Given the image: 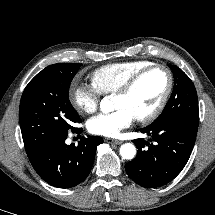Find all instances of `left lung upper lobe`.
Returning a JSON list of instances; mask_svg holds the SVG:
<instances>
[{
	"label": "left lung upper lobe",
	"instance_id": "obj_1",
	"mask_svg": "<svg viewBox=\"0 0 215 215\" xmlns=\"http://www.w3.org/2000/svg\"><path fill=\"white\" fill-rule=\"evenodd\" d=\"M168 66L174 73V89L163 112L152 124L180 121L198 127V98L194 84L180 68Z\"/></svg>",
	"mask_w": 215,
	"mask_h": 215
}]
</instances>
